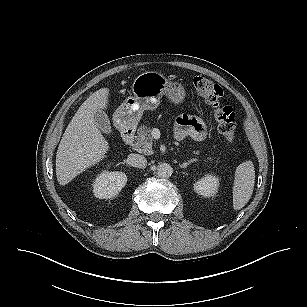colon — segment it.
<instances>
[{"label":"colon","instance_id":"5ec220e1","mask_svg":"<svg viewBox=\"0 0 307 307\" xmlns=\"http://www.w3.org/2000/svg\"><path fill=\"white\" fill-rule=\"evenodd\" d=\"M193 86L197 95L211 105L218 124V131L225 137L229 144H236L235 114L233 109L223 101L222 88L204 77L194 78Z\"/></svg>","mask_w":307,"mask_h":307}]
</instances>
